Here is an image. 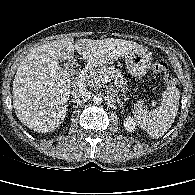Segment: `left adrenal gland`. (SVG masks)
I'll list each match as a JSON object with an SVG mask.
<instances>
[{
  "label": "left adrenal gland",
  "mask_w": 195,
  "mask_h": 195,
  "mask_svg": "<svg viewBox=\"0 0 195 195\" xmlns=\"http://www.w3.org/2000/svg\"><path fill=\"white\" fill-rule=\"evenodd\" d=\"M117 103H119V105L121 106V102L117 100Z\"/></svg>",
  "instance_id": "left-adrenal-gland-1"
}]
</instances>
